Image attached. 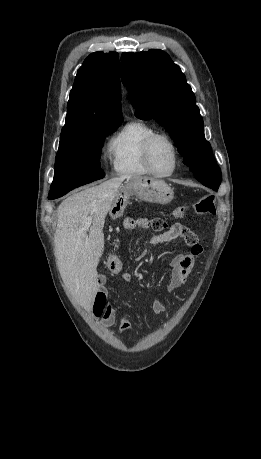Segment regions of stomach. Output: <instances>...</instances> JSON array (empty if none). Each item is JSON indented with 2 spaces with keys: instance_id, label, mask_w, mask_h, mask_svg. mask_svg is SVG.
Here are the masks:
<instances>
[{
  "instance_id": "stomach-1",
  "label": "stomach",
  "mask_w": 261,
  "mask_h": 459,
  "mask_svg": "<svg viewBox=\"0 0 261 459\" xmlns=\"http://www.w3.org/2000/svg\"><path fill=\"white\" fill-rule=\"evenodd\" d=\"M132 195L142 201L158 204H168L174 198L172 188L164 181L145 176L129 177L116 194L115 206L111 212L113 217L124 209ZM119 208L120 210L117 211Z\"/></svg>"
}]
</instances>
